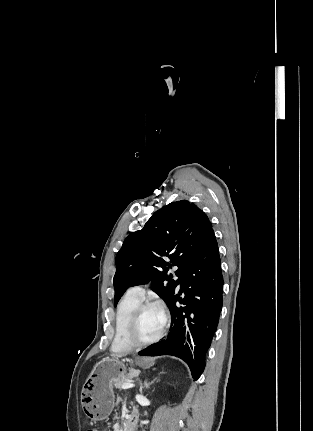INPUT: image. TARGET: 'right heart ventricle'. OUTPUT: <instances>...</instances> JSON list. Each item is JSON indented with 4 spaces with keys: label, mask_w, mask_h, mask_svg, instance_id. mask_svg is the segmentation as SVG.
<instances>
[{
    "label": "right heart ventricle",
    "mask_w": 313,
    "mask_h": 431,
    "mask_svg": "<svg viewBox=\"0 0 313 431\" xmlns=\"http://www.w3.org/2000/svg\"><path fill=\"white\" fill-rule=\"evenodd\" d=\"M142 299L126 293L119 301L115 313V333L112 350L117 353L131 351L133 346L127 340V328L131 315Z\"/></svg>",
    "instance_id": "1"
}]
</instances>
